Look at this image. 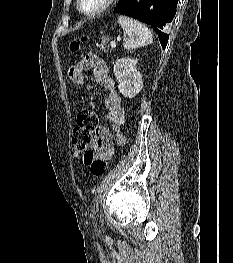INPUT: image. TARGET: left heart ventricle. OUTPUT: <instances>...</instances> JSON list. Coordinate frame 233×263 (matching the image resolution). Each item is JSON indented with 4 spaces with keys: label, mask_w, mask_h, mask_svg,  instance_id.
<instances>
[{
    "label": "left heart ventricle",
    "mask_w": 233,
    "mask_h": 263,
    "mask_svg": "<svg viewBox=\"0 0 233 263\" xmlns=\"http://www.w3.org/2000/svg\"><path fill=\"white\" fill-rule=\"evenodd\" d=\"M104 0H82V8L85 11H94L101 6Z\"/></svg>",
    "instance_id": "left-heart-ventricle-1"
}]
</instances>
